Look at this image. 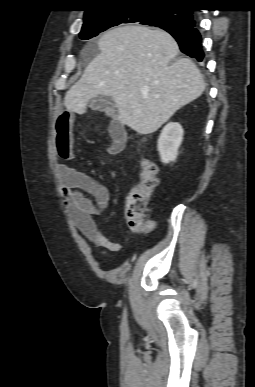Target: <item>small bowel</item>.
<instances>
[{
  "label": "small bowel",
  "instance_id": "c3829d8e",
  "mask_svg": "<svg viewBox=\"0 0 255 387\" xmlns=\"http://www.w3.org/2000/svg\"><path fill=\"white\" fill-rule=\"evenodd\" d=\"M74 116L71 112H64L56 122V149L63 161L73 157ZM109 133L111 144L108 152L111 155L119 154L123 151L127 141L125 129L120 122L112 121ZM57 171L63 205L74 225L98 246L109 251H120L121 245L109 240L102 233L96 221V217L104 215L109 203L110 195L107 187L64 162L58 164Z\"/></svg>",
  "mask_w": 255,
  "mask_h": 387
}]
</instances>
